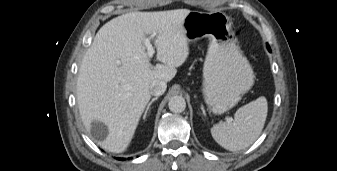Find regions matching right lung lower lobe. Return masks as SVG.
Segmentation results:
<instances>
[{
    "mask_svg": "<svg viewBox=\"0 0 337 171\" xmlns=\"http://www.w3.org/2000/svg\"><path fill=\"white\" fill-rule=\"evenodd\" d=\"M117 159H119V160H124V158H117Z\"/></svg>",
    "mask_w": 337,
    "mask_h": 171,
    "instance_id": "1",
    "label": "right lung lower lobe"
}]
</instances>
